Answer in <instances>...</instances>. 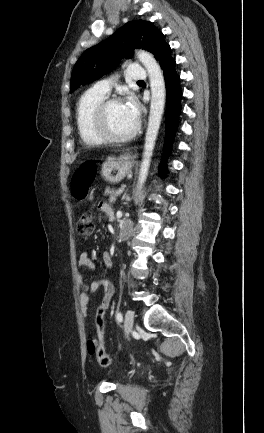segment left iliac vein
I'll use <instances>...</instances> for the list:
<instances>
[{"mask_svg":"<svg viewBox=\"0 0 264 433\" xmlns=\"http://www.w3.org/2000/svg\"><path fill=\"white\" fill-rule=\"evenodd\" d=\"M134 325V315L131 310H127L125 315V333L126 336L129 335Z\"/></svg>","mask_w":264,"mask_h":433,"instance_id":"obj_1","label":"left iliac vein"}]
</instances>
